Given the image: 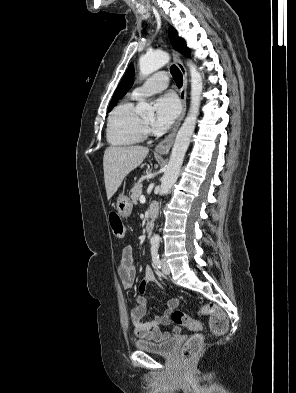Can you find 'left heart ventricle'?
I'll return each mask as SVG.
<instances>
[{
    "label": "left heart ventricle",
    "instance_id": "obj_1",
    "mask_svg": "<svg viewBox=\"0 0 296 393\" xmlns=\"http://www.w3.org/2000/svg\"><path fill=\"white\" fill-rule=\"evenodd\" d=\"M143 120L147 123H150L152 121V116L145 117Z\"/></svg>",
    "mask_w": 296,
    "mask_h": 393
}]
</instances>
